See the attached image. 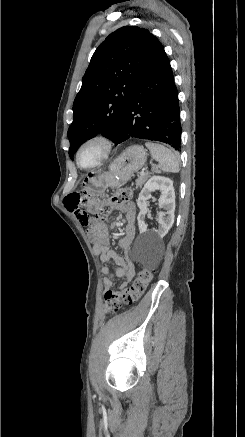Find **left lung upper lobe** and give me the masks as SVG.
Here are the masks:
<instances>
[{
  "instance_id": "left-lung-upper-lobe-1",
  "label": "left lung upper lobe",
  "mask_w": 245,
  "mask_h": 437,
  "mask_svg": "<svg viewBox=\"0 0 245 437\" xmlns=\"http://www.w3.org/2000/svg\"><path fill=\"white\" fill-rule=\"evenodd\" d=\"M159 44L147 29L124 26L98 46L73 103L71 159L81 144L99 133L116 143L129 96Z\"/></svg>"
}]
</instances>
